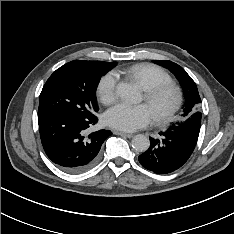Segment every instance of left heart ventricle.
Segmentation results:
<instances>
[{
  "label": "left heart ventricle",
  "instance_id": "b2bd125f",
  "mask_svg": "<svg viewBox=\"0 0 234 234\" xmlns=\"http://www.w3.org/2000/svg\"><path fill=\"white\" fill-rule=\"evenodd\" d=\"M173 97L170 93L161 95L154 103L147 104L152 112V115L161 114L166 111L171 105Z\"/></svg>",
  "mask_w": 234,
  "mask_h": 234
}]
</instances>
